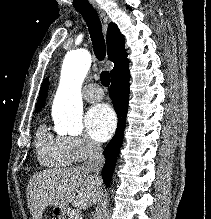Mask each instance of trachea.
Masks as SVG:
<instances>
[{
  "label": "trachea",
  "mask_w": 211,
  "mask_h": 219,
  "mask_svg": "<svg viewBox=\"0 0 211 219\" xmlns=\"http://www.w3.org/2000/svg\"><path fill=\"white\" fill-rule=\"evenodd\" d=\"M75 8L78 12L82 14V16L84 17L87 23L94 53L97 59L99 61L104 60L106 55V46H105L104 36L102 33V25L98 14L96 13V11L93 9L91 5L75 6ZM100 81L103 86L105 87L109 86L110 75L108 71L101 72Z\"/></svg>",
  "instance_id": "1"
}]
</instances>
